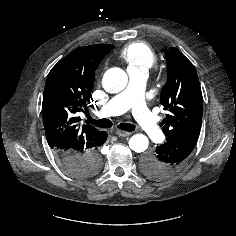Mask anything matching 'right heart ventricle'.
Returning a JSON list of instances; mask_svg holds the SVG:
<instances>
[{"mask_svg":"<svg viewBox=\"0 0 236 236\" xmlns=\"http://www.w3.org/2000/svg\"><path fill=\"white\" fill-rule=\"evenodd\" d=\"M128 69L149 70L157 63V55L144 42H133L125 46L120 52Z\"/></svg>","mask_w":236,"mask_h":236,"instance_id":"obj_1","label":"right heart ventricle"}]
</instances>
